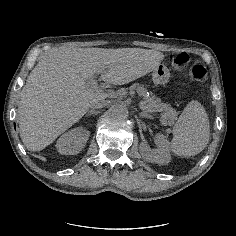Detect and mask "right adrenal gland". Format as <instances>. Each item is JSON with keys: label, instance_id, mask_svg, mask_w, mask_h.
<instances>
[{"label": "right adrenal gland", "instance_id": "1", "mask_svg": "<svg viewBox=\"0 0 236 236\" xmlns=\"http://www.w3.org/2000/svg\"><path fill=\"white\" fill-rule=\"evenodd\" d=\"M98 114H100L99 110L92 109L90 112L87 113L86 116L98 115Z\"/></svg>", "mask_w": 236, "mask_h": 236}]
</instances>
